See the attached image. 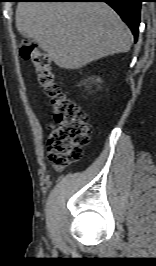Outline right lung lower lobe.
I'll return each instance as SVG.
<instances>
[{
  "label": "right lung lower lobe",
  "mask_w": 156,
  "mask_h": 266,
  "mask_svg": "<svg viewBox=\"0 0 156 266\" xmlns=\"http://www.w3.org/2000/svg\"><path fill=\"white\" fill-rule=\"evenodd\" d=\"M46 2H106L131 29L135 41L138 37L142 0H30Z\"/></svg>",
  "instance_id": "98d812e1"
}]
</instances>
